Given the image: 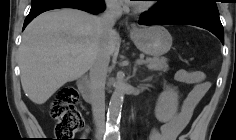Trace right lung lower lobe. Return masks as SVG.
Segmentation results:
<instances>
[{
	"instance_id": "right-lung-lower-lobe-1",
	"label": "right lung lower lobe",
	"mask_w": 236,
	"mask_h": 140,
	"mask_svg": "<svg viewBox=\"0 0 236 140\" xmlns=\"http://www.w3.org/2000/svg\"><path fill=\"white\" fill-rule=\"evenodd\" d=\"M58 8H76L89 13H99L104 11L105 5L101 0L100 5H92L83 0H48L31 6V10L25 19L23 29L39 14Z\"/></svg>"
}]
</instances>
